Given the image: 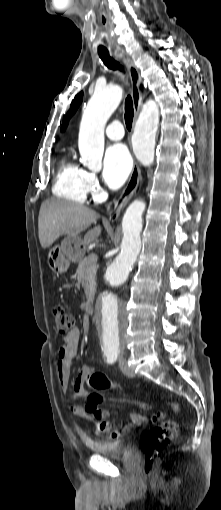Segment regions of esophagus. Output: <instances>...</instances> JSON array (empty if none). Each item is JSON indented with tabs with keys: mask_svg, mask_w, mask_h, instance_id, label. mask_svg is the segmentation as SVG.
I'll return each mask as SVG.
<instances>
[{
	"mask_svg": "<svg viewBox=\"0 0 221 510\" xmlns=\"http://www.w3.org/2000/svg\"><path fill=\"white\" fill-rule=\"evenodd\" d=\"M118 57L123 61L124 65L126 66L130 80H131V95L133 100V108H134V120H133V127L135 126L136 120L139 115V111L142 105V94H141V76L139 73L138 68L135 66L134 62L126 57L123 53H120ZM141 179V170L136 161H134V165L128 180V183L124 190L122 191L121 195L115 202L113 208L109 212L108 220L110 222H115L118 220L121 212L123 211L124 207L134 194L139 181Z\"/></svg>",
	"mask_w": 221,
	"mask_h": 510,
	"instance_id": "esophagus-1",
	"label": "esophagus"
}]
</instances>
